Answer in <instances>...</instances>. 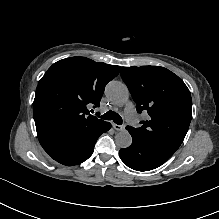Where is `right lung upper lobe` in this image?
<instances>
[{"label":"right lung upper lobe","instance_id":"obj_1","mask_svg":"<svg viewBox=\"0 0 219 219\" xmlns=\"http://www.w3.org/2000/svg\"><path fill=\"white\" fill-rule=\"evenodd\" d=\"M120 66L71 57L54 63L38 83L33 112L38 137L90 131L104 123L89 114Z\"/></svg>","mask_w":219,"mask_h":219}]
</instances>
